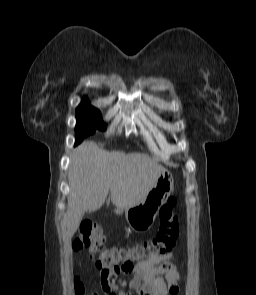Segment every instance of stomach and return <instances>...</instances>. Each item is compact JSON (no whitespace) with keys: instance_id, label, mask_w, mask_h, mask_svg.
<instances>
[{"instance_id":"stomach-1","label":"stomach","mask_w":256,"mask_h":295,"mask_svg":"<svg viewBox=\"0 0 256 295\" xmlns=\"http://www.w3.org/2000/svg\"><path fill=\"white\" fill-rule=\"evenodd\" d=\"M173 177L167 170H163L145 199L139 204L128 207H116L117 215L125 214L129 227L136 232L149 230L168 196L173 191Z\"/></svg>"}]
</instances>
